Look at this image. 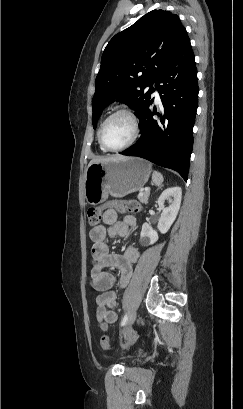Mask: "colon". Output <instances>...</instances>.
Here are the masks:
<instances>
[{"label": "colon", "instance_id": "1", "mask_svg": "<svg viewBox=\"0 0 243 409\" xmlns=\"http://www.w3.org/2000/svg\"><path fill=\"white\" fill-rule=\"evenodd\" d=\"M116 209L119 213L134 214L138 213L141 209L140 204L133 199L130 200H115L102 205L92 206L87 210L88 225L95 227L99 224L102 213L105 209ZM100 346L104 350L110 349L109 339L106 335H103L100 339Z\"/></svg>", "mask_w": 243, "mask_h": 409}]
</instances>
